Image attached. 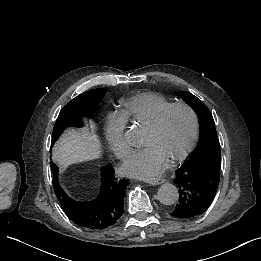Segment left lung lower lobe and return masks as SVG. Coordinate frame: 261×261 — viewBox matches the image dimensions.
<instances>
[{
    "label": "left lung lower lobe",
    "mask_w": 261,
    "mask_h": 261,
    "mask_svg": "<svg viewBox=\"0 0 261 261\" xmlns=\"http://www.w3.org/2000/svg\"><path fill=\"white\" fill-rule=\"evenodd\" d=\"M220 180V168L212 165H182L174 182L179 187V201L169 213L175 218L189 219L204 213L211 205Z\"/></svg>",
    "instance_id": "1"
}]
</instances>
